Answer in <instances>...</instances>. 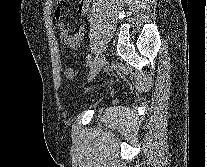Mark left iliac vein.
<instances>
[{
  "label": "left iliac vein",
  "instance_id": "4c4485c4",
  "mask_svg": "<svg viewBox=\"0 0 207 167\" xmlns=\"http://www.w3.org/2000/svg\"><path fill=\"white\" fill-rule=\"evenodd\" d=\"M105 62L106 60L104 54H99L96 56V58L94 59L91 65L88 80H92L98 74V72L105 65Z\"/></svg>",
  "mask_w": 207,
  "mask_h": 167
}]
</instances>
